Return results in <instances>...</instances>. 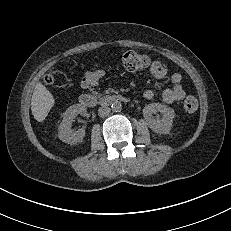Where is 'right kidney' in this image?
<instances>
[{
	"mask_svg": "<svg viewBox=\"0 0 231 231\" xmlns=\"http://www.w3.org/2000/svg\"><path fill=\"white\" fill-rule=\"evenodd\" d=\"M86 107L81 104H74L70 106L63 114V120L58 128V136L60 140L68 144H77L83 140L85 136V129H78L74 131L71 129L72 122L78 114H86Z\"/></svg>",
	"mask_w": 231,
	"mask_h": 231,
	"instance_id": "1",
	"label": "right kidney"
}]
</instances>
